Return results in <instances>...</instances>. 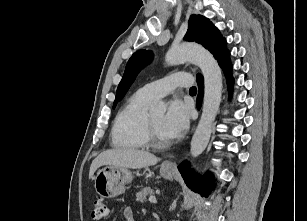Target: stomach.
Instances as JSON below:
<instances>
[{
	"label": "stomach",
	"instance_id": "obj_1",
	"mask_svg": "<svg viewBox=\"0 0 307 221\" xmlns=\"http://www.w3.org/2000/svg\"><path fill=\"white\" fill-rule=\"evenodd\" d=\"M160 173L167 179H172L174 170L161 165ZM133 179V174L127 168L106 166L100 169L94 177V187L99 196L112 198L125 191L126 184Z\"/></svg>",
	"mask_w": 307,
	"mask_h": 221
}]
</instances>
